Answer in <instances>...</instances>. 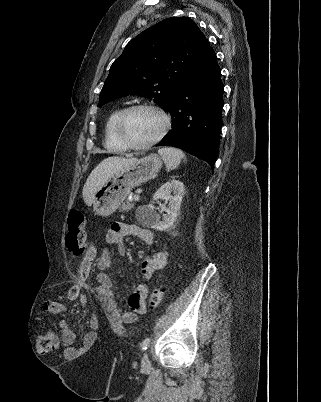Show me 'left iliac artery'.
<instances>
[{"label": "left iliac artery", "instance_id": "1", "mask_svg": "<svg viewBox=\"0 0 321 402\" xmlns=\"http://www.w3.org/2000/svg\"><path fill=\"white\" fill-rule=\"evenodd\" d=\"M149 343H150V338H149V337L145 338V339L142 341V343H141V349H142V351H145V350L148 349Z\"/></svg>", "mask_w": 321, "mask_h": 402}]
</instances>
